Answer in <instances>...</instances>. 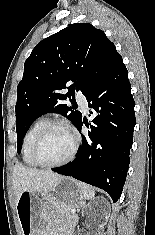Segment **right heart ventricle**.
Instances as JSON below:
<instances>
[{
  "label": "right heart ventricle",
  "instance_id": "1",
  "mask_svg": "<svg viewBox=\"0 0 155 235\" xmlns=\"http://www.w3.org/2000/svg\"><path fill=\"white\" fill-rule=\"evenodd\" d=\"M46 117H41L35 120L32 125L28 128L22 139V160L23 162L30 167H37L38 164L33 160L31 155L32 146L39 132L45 127L48 123Z\"/></svg>",
  "mask_w": 155,
  "mask_h": 235
}]
</instances>
